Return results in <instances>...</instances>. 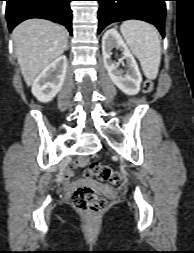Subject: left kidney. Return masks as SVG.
<instances>
[{"label":"left kidney","mask_w":194,"mask_h":253,"mask_svg":"<svg viewBox=\"0 0 194 253\" xmlns=\"http://www.w3.org/2000/svg\"><path fill=\"white\" fill-rule=\"evenodd\" d=\"M113 48L119 49L123 54L122 59L126 60L125 74L123 70L118 69L119 65L115 64L111 59V50ZM102 54L104 66L113 83L127 95L137 94L142 82L141 73L133 55L115 29H110L104 34L102 38Z\"/></svg>","instance_id":"left-kidney-1"}]
</instances>
